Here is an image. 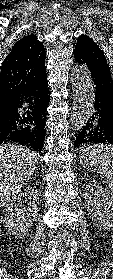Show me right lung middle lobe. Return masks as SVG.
<instances>
[{
	"instance_id": "1",
	"label": "right lung middle lobe",
	"mask_w": 113,
	"mask_h": 279,
	"mask_svg": "<svg viewBox=\"0 0 113 279\" xmlns=\"http://www.w3.org/2000/svg\"><path fill=\"white\" fill-rule=\"evenodd\" d=\"M9 110H10V108L9 109H5V110H0V120H2V119H4L5 117L8 116Z\"/></svg>"
}]
</instances>
